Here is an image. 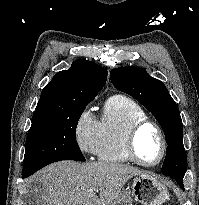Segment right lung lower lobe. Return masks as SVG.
I'll return each instance as SVG.
<instances>
[{
	"label": "right lung lower lobe",
	"mask_w": 199,
	"mask_h": 205,
	"mask_svg": "<svg viewBox=\"0 0 199 205\" xmlns=\"http://www.w3.org/2000/svg\"><path fill=\"white\" fill-rule=\"evenodd\" d=\"M26 177H28V176H22V178H26Z\"/></svg>",
	"instance_id": "1"
}]
</instances>
